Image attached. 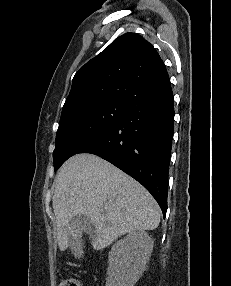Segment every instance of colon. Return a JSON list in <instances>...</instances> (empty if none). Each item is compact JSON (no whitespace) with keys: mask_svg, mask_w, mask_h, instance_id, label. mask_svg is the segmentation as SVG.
<instances>
[{"mask_svg":"<svg viewBox=\"0 0 231 286\" xmlns=\"http://www.w3.org/2000/svg\"><path fill=\"white\" fill-rule=\"evenodd\" d=\"M59 286H83L78 278L70 277L62 280Z\"/></svg>","mask_w":231,"mask_h":286,"instance_id":"obj_1","label":"colon"}]
</instances>
